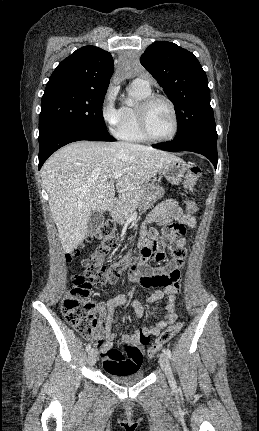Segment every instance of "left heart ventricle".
<instances>
[{
    "label": "left heart ventricle",
    "instance_id": "1",
    "mask_svg": "<svg viewBox=\"0 0 259 431\" xmlns=\"http://www.w3.org/2000/svg\"><path fill=\"white\" fill-rule=\"evenodd\" d=\"M149 130L154 137L164 138L173 130V116L169 106L163 101H156L149 110Z\"/></svg>",
    "mask_w": 259,
    "mask_h": 431
}]
</instances>
